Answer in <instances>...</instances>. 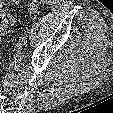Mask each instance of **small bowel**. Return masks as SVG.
<instances>
[{
	"label": "small bowel",
	"instance_id": "c3829d8e",
	"mask_svg": "<svg viewBox=\"0 0 113 113\" xmlns=\"http://www.w3.org/2000/svg\"><path fill=\"white\" fill-rule=\"evenodd\" d=\"M16 2V1H15ZM3 20L4 26L0 27V39H1V34L3 32L4 27L6 26L7 22H13L14 21V16L11 12H6L4 9V0H0V23Z\"/></svg>",
	"mask_w": 113,
	"mask_h": 113
}]
</instances>
